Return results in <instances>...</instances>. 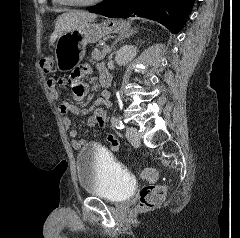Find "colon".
Instances as JSON below:
<instances>
[{
    "label": "colon",
    "instance_id": "1",
    "mask_svg": "<svg viewBox=\"0 0 240 238\" xmlns=\"http://www.w3.org/2000/svg\"><path fill=\"white\" fill-rule=\"evenodd\" d=\"M40 68L43 72L49 73L54 66L53 58L45 56L40 59ZM141 176L148 182H154L157 178V172L153 168H146L141 172ZM167 194V186L150 184L142 188L140 192V206L142 208L151 209L159 205Z\"/></svg>",
    "mask_w": 240,
    "mask_h": 238
}]
</instances>
